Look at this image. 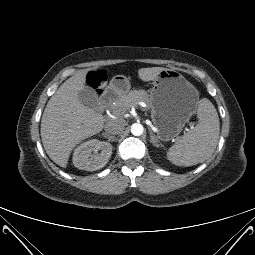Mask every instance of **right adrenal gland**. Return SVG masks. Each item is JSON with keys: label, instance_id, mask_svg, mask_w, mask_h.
Here are the masks:
<instances>
[{"label": "right adrenal gland", "instance_id": "1", "mask_svg": "<svg viewBox=\"0 0 255 255\" xmlns=\"http://www.w3.org/2000/svg\"><path fill=\"white\" fill-rule=\"evenodd\" d=\"M105 138L108 139V141H114V137H109L108 134H102Z\"/></svg>", "mask_w": 255, "mask_h": 255}]
</instances>
